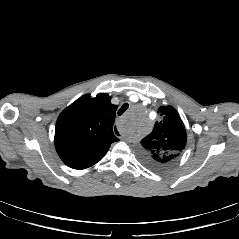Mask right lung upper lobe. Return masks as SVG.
I'll list each match as a JSON object with an SVG mask.
<instances>
[{"mask_svg": "<svg viewBox=\"0 0 239 239\" xmlns=\"http://www.w3.org/2000/svg\"><path fill=\"white\" fill-rule=\"evenodd\" d=\"M117 105L110 96L100 93L95 98L84 95L58 117L55 147L63 162L73 169H85L107 153L119 139L113 134Z\"/></svg>", "mask_w": 239, "mask_h": 239, "instance_id": "cb5924a9", "label": "right lung upper lobe"}]
</instances>
